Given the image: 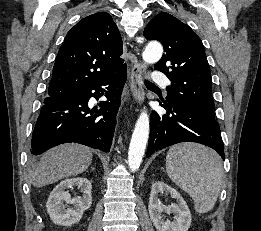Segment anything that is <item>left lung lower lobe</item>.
<instances>
[{"label":"left lung lower lobe","instance_id":"0a47b994","mask_svg":"<svg viewBox=\"0 0 261 231\" xmlns=\"http://www.w3.org/2000/svg\"><path fill=\"white\" fill-rule=\"evenodd\" d=\"M165 115L153 111L150 118V140L147 157L157 150L180 142H196L213 148L224 159L219 124L215 117L185 103H160Z\"/></svg>","mask_w":261,"mask_h":231}]
</instances>
